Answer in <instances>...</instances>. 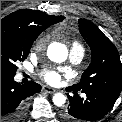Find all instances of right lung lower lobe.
<instances>
[{
	"instance_id": "obj_1",
	"label": "right lung lower lobe",
	"mask_w": 122,
	"mask_h": 122,
	"mask_svg": "<svg viewBox=\"0 0 122 122\" xmlns=\"http://www.w3.org/2000/svg\"><path fill=\"white\" fill-rule=\"evenodd\" d=\"M41 90L33 81L20 84L13 75L1 73V122H22L27 98Z\"/></svg>"
}]
</instances>
